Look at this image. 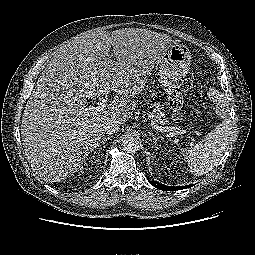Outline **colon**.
I'll use <instances>...</instances> for the list:
<instances>
[{"label":"colon","mask_w":255,"mask_h":255,"mask_svg":"<svg viewBox=\"0 0 255 255\" xmlns=\"http://www.w3.org/2000/svg\"><path fill=\"white\" fill-rule=\"evenodd\" d=\"M190 88V81L185 80L180 85L176 92L169 98V104L173 112V119L179 121L182 117L181 109L184 103L183 93ZM207 94L210 99L215 100L218 97V91L215 88H209Z\"/></svg>","instance_id":"5ec220e1"}]
</instances>
